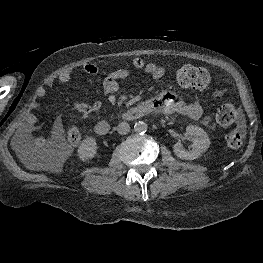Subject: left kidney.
I'll list each match as a JSON object with an SVG mask.
<instances>
[{
	"label": "left kidney",
	"instance_id": "left-kidney-1",
	"mask_svg": "<svg viewBox=\"0 0 263 263\" xmlns=\"http://www.w3.org/2000/svg\"><path fill=\"white\" fill-rule=\"evenodd\" d=\"M185 137L190 138L192 141L191 150L185 151L181 142H177L173 146L174 153L180 159L194 160L206 152L210 146L209 136L201 127L188 125L186 127Z\"/></svg>",
	"mask_w": 263,
	"mask_h": 263
}]
</instances>
